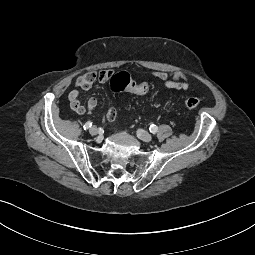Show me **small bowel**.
<instances>
[{
	"mask_svg": "<svg viewBox=\"0 0 255 255\" xmlns=\"http://www.w3.org/2000/svg\"><path fill=\"white\" fill-rule=\"evenodd\" d=\"M112 71L108 69L100 71H89L80 75L75 81V89L69 92L68 98L71 109L77 114L91 113L97 107L96 98H90L86 105L80 102V90H89L95 82L104 83L110 79ZM153 75L158 78L166 88L175 90H186L190 86L188 78L179 73H166L162 71H155ZM115 116V109L109 108L106 113V118L112 120Z\"/></svg>",
	"mask_w": 255,
	"mask_h": 255,
	"instance_id": "obj_1",
	"label": "small bowel"
}]
</instances>
